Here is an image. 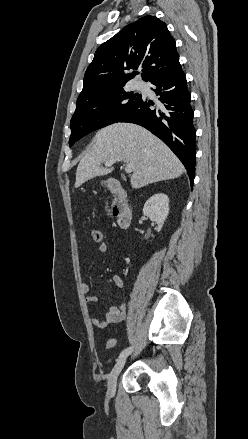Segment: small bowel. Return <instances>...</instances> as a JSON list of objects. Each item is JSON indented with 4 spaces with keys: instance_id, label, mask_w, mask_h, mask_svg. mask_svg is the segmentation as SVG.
<instances>
[{
    "instance_id": "obj_1",
    "label": "small bowel",
    "mask_w": 248,
    "mask_h": 439,
    "mask_svg": "<svg viewBox=\"0 0 248 439\" xmlns=\"http://www.w3.org/2000/svg\"><path fill=\"white\" fill-rule=\"evenodd\" d=\"M108 249V245L106 242H102L98 246L99 253H105ZM108 283L114 285L118 289L122 290L124 288V281L120 275L115 274L111 279L108 280ZM81 290L85 294V300L87 303H96L98 302V297L92 294H89V287L87 284L83 283L81 285ZM126 319V303L123 299L108 307L105 311L104 319L92 318L91 323L93 326L103 329L106 328L110 324H118L123 322Z\"/></svg>"
}]
</instances>
